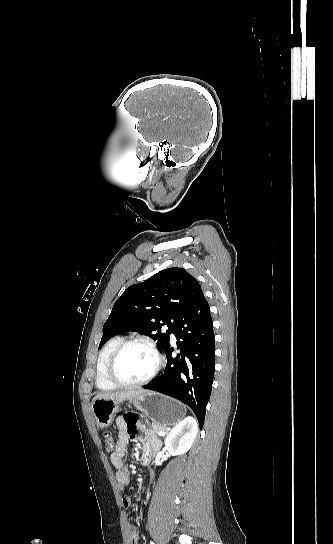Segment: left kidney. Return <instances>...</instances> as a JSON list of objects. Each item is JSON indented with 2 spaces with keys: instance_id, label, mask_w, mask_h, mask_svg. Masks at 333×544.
Returning <instances> with one entry per match:
<instances>
[{
  "instance_id": "5707ae66",
  "label": "left kidney",
  "mask_w": 333,
  "mask_h": 544,
  "mask_svg": "<svg viewBox=\"0 0 333 544\" xmlns=\"http://www.w3.org/2000/svg\"><path fill=\"white\" fill-rule=\"evenodd\" d=\"M197 423L191 416L177 424L167 435L165 447L171 455L186 453L192 446L197 435Z\"/></svg>"
}]
</instances>
